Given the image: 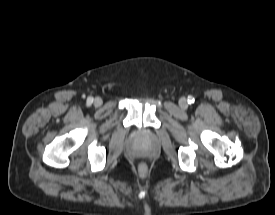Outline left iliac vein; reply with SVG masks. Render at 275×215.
Listing matches in <instances>:
<instances>
[{
    "instance_id": "obj_1",
    "label": "left iliac vein",
    "mask_w": 275,
    "mask_h": 215,
    "mask_svg": "<svg viewBox=\"0 0 275 215\" xmlns=\"http://www.w3.org/2000/svg\"><path fill=\"white\" fill-rule=\"evenodd\" d=\"M179 105L182 109H186L188 107V102L185 98H181L179 100Z\"/></svg>"
}]
</instances>
